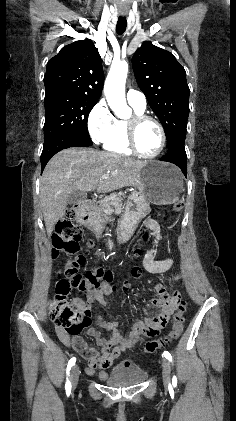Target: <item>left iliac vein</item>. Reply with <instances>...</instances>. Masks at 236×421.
Segmentation results:
<instances>
[{"instance_id": "4c4485c4", "label": "left iliac vein", "mask_w": 236, "mask_h": 421, "mask_svg": "<svg viewBox=\"0 0 236 421\" xmlns=\"http://www.w3.org/2000/svg\"><path fill=\"white\" fill-rule=\"evenodd\" d=\"M162 364H163V370H162V376H163V380L165 382V386L169 385L170 382V378H171V366L170 363L167 359L162 358Z\"/></svg>"}]
</instances>
